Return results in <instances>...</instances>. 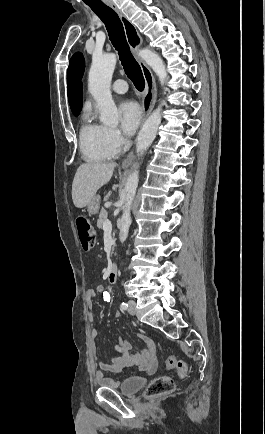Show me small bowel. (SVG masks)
Returning <instances> with one entry per match:
<instances>
[{
    "label": "small bowel",
    "instance_id": "1",
    "mask_svg": "<svg viewBox=\"0 0 265 434\" xmlns=\"http://www.w3.org/2000/svg\"><path fill=\"white\" fill-rule=\"evenodd\" d=\"M98 293H105V288L102 284H98L95 288H90L86 291V299L90 307H92ZM120 313L119 310L115 311L117 318L121 317ZM89 318L90 320H94L95 315L93 311H90ZM92 338L94 340L98 339V330L94 329L92 331ZM139 338L145 344V348L133 355L130 353L132 349L131 342L126 339H119L117 350L120 354L114 357L111 363L104 362L99 356L95 357V365L98 367V381L102 387H113L115 385V380L107 378L104 371L118 372L125 365L133 361L140 363L148 375H152L157 371L156 345L154 340L144 333L139 334Z\"/></svg>",
    "mask_w": 265,
    "mask_h": 434
}]
</instances>
